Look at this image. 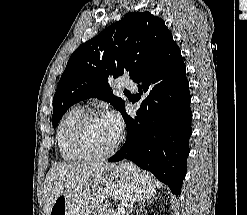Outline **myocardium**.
I'll list each match as a JSON object with an SVG mask.
<instances>
[{"label": "myocardium", "instance_id": "1", "mask_svg": "<svg viewBox=\"0 0 247 215\" xmlns=\"http://www.w3.org/2000/svg\"><path fill=\"white\" fill-rule=\"evenodd\" d=\"M101 118L102 115L97 112L85 113L81 115L73 126L71 134L73 147L75 151L85 160L100 161L107 159L114 154L120 144V136H118L112 146L104 152H93L88 148L84 137L85 127L89 122Z\"/></svg>", "mask_w": 247, "mask_h": 215}]
</instances>
